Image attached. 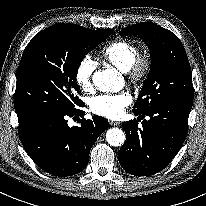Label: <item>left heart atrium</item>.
I'll use <instances>...</instances> for the list:
<instances>
[{"mask_svg": "<svg viewBox=\"0 0 206 206\" xmlns=\"http://www.w3.org/2000/svg\"><path fill=\"white\" fill-rule=\"evenodd\" d=\"M131 102L132 96L128 92L102 94L91 99L90 110L94 114L108 119H118Z\"/></svg>", "mask_w": 206, "mask_h": 206, "instance_id": "left-heart-atrium-1", "label": "left heart atrium"}]
</instances>
